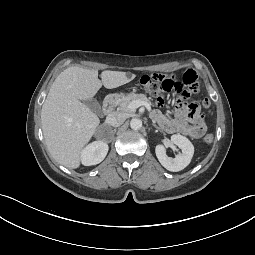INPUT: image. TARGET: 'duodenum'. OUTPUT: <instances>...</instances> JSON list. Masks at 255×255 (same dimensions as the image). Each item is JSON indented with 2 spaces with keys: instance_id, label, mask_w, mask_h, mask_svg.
I'll use <instances>...</instances> for the list:
<instances>
[{
  "instance_id": "410a0bca",
  "label": "duodenum",
  "mask_w": 255,
  "mask_h": 255,
  "mask_svg": "<svg viewBox=\"0 0 255 255\" xmlns=\"http://www.w3.org/2000/svg\"><path fill=\"white\" fill-rule=\"evenodd\" d=\"M117 98H118L117 94H110L104 99L102 107L104 114L108 115L113 111Z\"/></svg>"
}]
</instances>
